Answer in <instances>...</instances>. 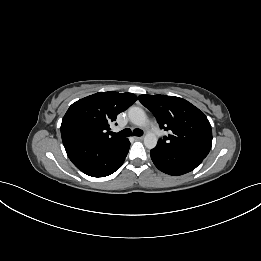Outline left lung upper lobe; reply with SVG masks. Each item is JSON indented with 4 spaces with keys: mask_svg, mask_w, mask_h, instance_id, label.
<instances>
[{
    "mask_svg": "<svg viewBox=\"0 0 261 261\" xmlns=\"http://www.w3.org/2000/svg\"><path fill=\"white\" fill-rule=\"evenodd\" d=\"M139 101L170 131L158 144L205 158L212 145L211 125L202 111L185 99L166 95H140Z\"/></svg>",
    "mask_w": 261,
    "mask_h": 261,
    "instance_id": "1",
    "label": "left lung upper lobe"
}]
</instances>
